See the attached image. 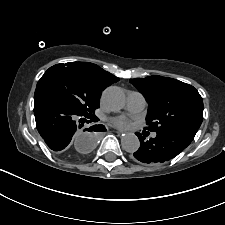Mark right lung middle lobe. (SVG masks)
Returning a JSON list of instances; mask_svg holds the SVG:
<instances>
[{
  "instance_id": "right-lung-middle-lobe-1",
  "label": "right lung middle lobe",
  "mask_w": 225,
  "mask_h": 225,
  "mask_svg": "<svg viewBox=\"0 0 225 225\" xmlns=\"http://www.w3.org/2000/svg\"><path fill=\"white\" fill-rule=\"evenodd\" d=\"M36 89L45 90L60 98L79 113L87 117H96L101 92L79 72L57 64L50 67L38 81Z\"/></svg>"
}]
</instances>
